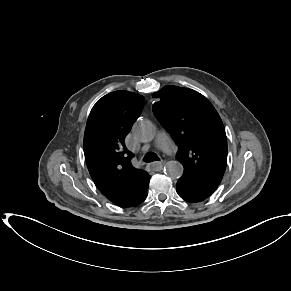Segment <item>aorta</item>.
Returning a JSON list of instances; mask_svg holds the SVG:
<instances>
[{
    "label": "aorta",
    "instance_id": "obj_1",
    "mask_svg": "<svg viewBox=\"0 0 291 291\" xmlns=\"http://www.w3.org/2000/svg\"><path fill=\"white\" fill-rule=\"evenodd\" d=\"M134 136L141 142H150L154 139L156 128L149 120L138 121L133 128ZM183 166L179 161H169L166 163L165 172L171 179H178L183 174Z\"/></svg>",
    "mask_w": 291,
    "mask_h": 291
}]
</instances>
